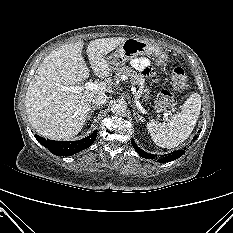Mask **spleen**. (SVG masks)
Instances as JSON below:
<instances>
[{"mask_svg": "<svg viewBox=\"0 0 233 233\" xmlns=\"http://www.w3.org/2000/svg\"><path fill=\"white\" fill-rule=\"evenodd\" d=\"M201 109V96L193 93L181 106V112L173 115L167 123L151 120L147 129L153 141L162 148H174L192 133Z\"/></svg>", "mask_w": 233, "mask_h": 233, "instance_id": "1", "label": "spleen"}]
</instances>
